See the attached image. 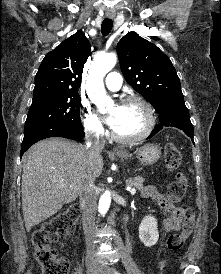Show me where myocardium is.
I'll return each mask as SVG.
<instances>
[{
	"label": "myocardium",
	"instance_id": "obj_1",
	"mask_svg": "<svg viewBox=\"0 0 221 274\" xmlns=\"http://www.w3.org/2000/svg\"><path fill=\"white\" fill-rule=\"evenodd\" d=\"M131 103L140 104L144 108V110L146 112V116H147V124H146L145 129L140 134L133 136V137L121 136V135L117 134L112 129V131H111L112 138L115 141L124 143V144H133V143H138V142L145 140L152 133V131L154 130V127L156 125V116H155L154 108L146 99H144L143 97H140V96L131 95V96H127V97L123 98L120 101L119 105H127V104H131Z\"/></svg>",
	"mask_w": 221,
	"mask_h": 274
}]
</instances>
